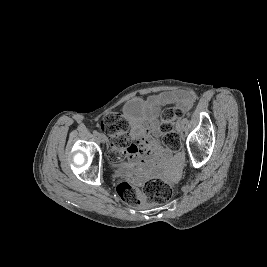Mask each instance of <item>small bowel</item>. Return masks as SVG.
Here are the masks:
<instances>
[{
	"instance_id": "1",
	"label": "small bowel",
	"mask_w": 267,
	"mask_h": 267,
	"mask_svg": "<svg viewBox=\"0 0 267 267\" xmlns=\"http://www.w3.org/2000/svg\"><path fill=\"white\" fill-rule=\"evenodd\" d=\"M194 95L186 91L162 92L150 96L144 104L146 116L131 121L132 151L127 162L116 169V177L123 181L140 184L149 176H166V168L172 166L171 176L178 174L180 158L172 156L160 144L156 131L157 116L161 106L174 104L188 110Z\"/></svg>"
}]
</instances>
